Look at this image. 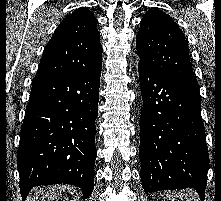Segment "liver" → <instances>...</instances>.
Returning <instances> with one entry per match:
<instances>
[{"instance_id":"1","label":"liver","mask_w":221,"mask_h":201,"mask_svg":"<svg viewBox=\"0 0 221 201\" xmlns=\"http://www.w3.org/2000/svg\"><path fill=\"white\" fill-rule=\"evenodd\" d=\"M61 190H62L61 187H59L58 189L56 186L49 187V189L45 191V195L44 192H42L43 194L42 201H44L45 198L47 199L46 201H52L56 199L60 195Z\"/></svg>"}]
</instances>
